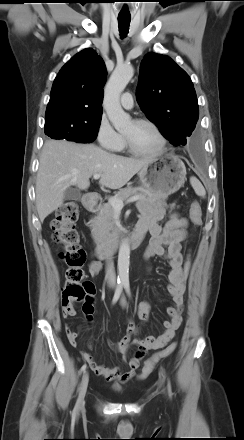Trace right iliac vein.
Returning <instances> with one entry per match:
<instances>
[{
    "mask_svg": "<svg viewBox=\"0 0 244 440\" xmlns=\"http://www.w3.org/2000/svg\"><path fill=\"white\" fill-rule=\"evenodd\" d=\"M88 382H89V374L86 371L83 374L81 384H80L79 397H78L77 404H76L77 409L81 408L84 403V398H85V394L87 391Z\"/></svg>",
    "mask_w": 244,
    "mask_h": 440,
    "instance_id": "63e3f726",
    "label": "right iliac vein"
}]
</instances>
